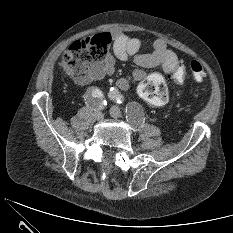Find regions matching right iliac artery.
<instances>
[{"label": "right iliac artery", "mask_w": 233, "mask_h": 233, "mask_svg": "<svg viewBox=\"0 0 233 233\" xmlns=\"http://www.w3.org/2000/svg\"><path fill=\"white\" fill-rule=\"evenodd\" d=\"M85 101L88 105L95 109H102L105 105L102 91L97 88H94L86 93Z\"/></svg>", "instance_id": "82829eb1"}]
</instances>
